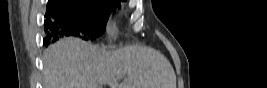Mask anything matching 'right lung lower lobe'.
<instances>
[{"mask_svg":"<svg viewBox=\"0 0 267 88\" xmlns=\"http://www.w3.org/2000/svg\"><path fill=\"white\" fill-rule=\"evenodd\" d=\"M45 27H48L47 34L49 41L54 42L61 36H81L79 35V32L68 22L48 19L45 23ZM88 39L93 40L94 38L88 37L85 40ZM49 41L46 42V39H44V43H49Z\"/></svg>","mask_w":267,"mask_h":88,"instance_id":"right-lung-lower-lobe-1","label":"right lung lower lobe"}]
</instances>
